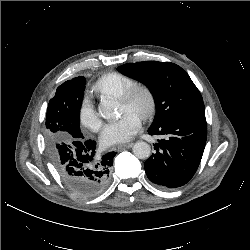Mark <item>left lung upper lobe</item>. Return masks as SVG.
Segmentation results:
<instances>
[{"mask_svg":"<svg viewBox=\"0 0 250 250\" xmlns=\"http://www.w3.org/2000/svg\"><path fill=\"white\" fill-rule=\"evenodd\" d=\"M118 70L141 81L151 91L156 114L151 127L183 116L205 113L202 96L180 66L170 62L146 61L124 64Z\"/></svg>","mask_w":250,"mask_h":250,"instance_id":"5c2ea615","label":"left lung upper lobe"}]
</instances>
